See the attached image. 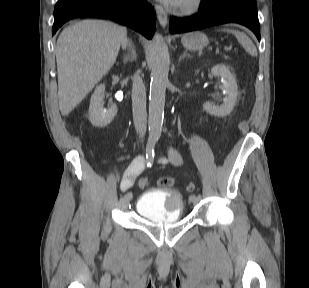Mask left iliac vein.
<instances>
[{"label":"left iliac vein","instance_id":"left-iliac-vein-1","mask_svg":"<svg viewBox=\"0 0 309 288\" xmlns=\"http://www.w3.org/2000/svg\"><path fill=\"white\" fill-rule=\"evenodd\" d=\"M199 198H195V199H190V201L193 203V204H197L199 202Z\"/></svg>","mask_w":309,"mask_h":288}]
</instances>
